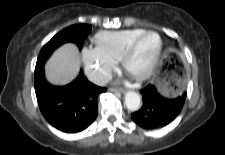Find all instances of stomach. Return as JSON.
<instances>
[{"instance_id": "obj_1", "label": "stomach", "mask_w": 225, "mask_h": 155, "mask_svg": "<svg viewBox=\"0 0 225 155\" xmlns=\"http://www.w3.org/2000/svg\"><path fill=\"white\" fill-rule=\"evenodd\" d=\"M153 83L163 96L176 97L182 91L184 80L174 70L160 66L154 75Z\"/></svg>"}]
</instances>
